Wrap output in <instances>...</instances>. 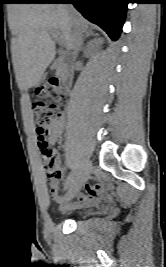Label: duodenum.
Listing matches in <instances>:
<instances>
[{
	"instance_id": "duodenum-1",
	"label": "duodenum",
	"mask_w": 166,
	"mask_h": 267,
	"mask_svg": "<svg viewBox=\"0 0 166 267\" xmlns=\"http://www.w3.org/2000/svg\"><path fill=\"white\" fill-rule=\"evenodd\" d=\"M52 68L56 71L65 89H69L74 77L73 67L68 63H53Z\"/></svg>"
}]
</instances>
